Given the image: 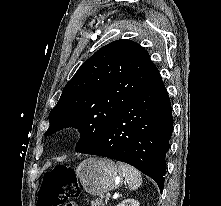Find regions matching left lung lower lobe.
I'll return each mask as SVG.
<instances>
[{
    "label": "left lung lower lobe",
    "mask_w": 221,
    "mask_h": 206,
    "mask_svg": "<svg viewBox=\"0 0 221 206\" xmlns=\"http://www.w3.org/2000/svg\"><path fill=\"white\" fill-rule=\"evenodd\" d=\"M172 131L170 99L159 77L121 111L96 141L79 152L128 163L154 179L162 192Z\"/></svg>",
    "instance_id": "left-lung-lower-lobe-1"
}]
</instances>
